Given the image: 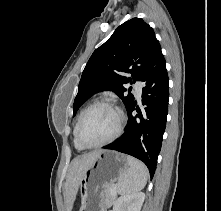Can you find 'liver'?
Wrapping results in <instances>:
<instances>
[{"label":"liver","mask_w":221,"mask_h":211,"mask_svg":"<svg viewBox=\"0 0 221 211\" xmlns=\"http://www.w3.org/2000/svg\"><path fill=\"white\" fill-rule=\"evenodd\" d=\"M101 152L102 151L90 152L76 157L71 162L65 184L67 211H71L73 208V204L85 170Z\"/></svg>","instance_id":"obj_1"}]
</instances>
